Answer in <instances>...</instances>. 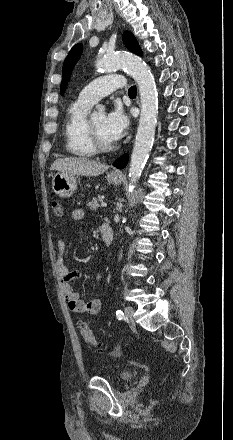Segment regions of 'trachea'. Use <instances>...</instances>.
Wrapping results in <instances>:
<instances>
[{
  "label": "trachea",
  "mask_w": 233,
  "mask_h": 440,
  "mask_svg": "<svg viewBox=\"0 0 233 440\" xmlns=\"http://www.w3.org/2000/svg\"><path fill=\"white\" fill-rule=\"evenodd\" d=\"M136 93H137L136 86H132L129 88V90H128L129 96H136Z\"/></svg>",
  "instance_id": "obj_1"
}]
</instances>
